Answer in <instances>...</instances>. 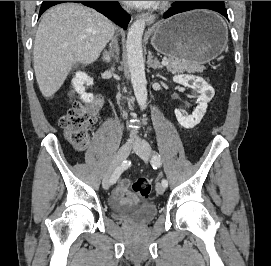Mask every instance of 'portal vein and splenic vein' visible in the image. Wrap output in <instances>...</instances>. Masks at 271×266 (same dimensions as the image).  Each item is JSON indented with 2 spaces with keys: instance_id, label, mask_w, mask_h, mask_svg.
Segmentation results:
<instances>
[{
  "instance_id": "portal-vein-and-splenic-vein-1",
  "label": "portal vein and splenic vein",
  "mask_w": 271,
  "mask_h": 266,
  "mask_svg": "<svg viewBox=\"0 0 271 266\" xmlns=\"http://www.w3.org/2000/svg\"><path fill=\"white\" fill-rule=\"evenodd\" d=\"M162 65H163V66H167V65H168V61H167V60H163V61H162Z\"/></svg>"
}]
</instances>
